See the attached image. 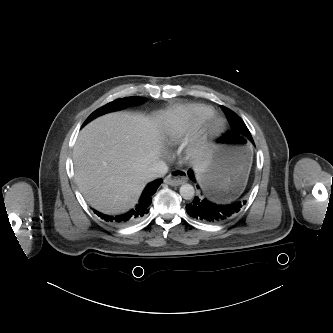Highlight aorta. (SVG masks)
Returning <instances> with one entry per match:
<instances>
[{"label": "aorta", "mask_w": 333, "mask_h": 333, "mask_svg": "<svg viewBox=\"0 0 333 333\" xmlns=\"http://www.w3.org/2000/svg\"><path fill=\"white\" fill-rule=\"evenodd\" d=\"M180 195L185 199V200H190L194 197L195 190L194 187L191 184H183L180 187Z\"/></svg>", "instance_id": "obj_1"}]
</instances>
